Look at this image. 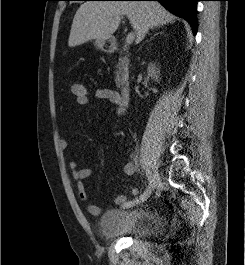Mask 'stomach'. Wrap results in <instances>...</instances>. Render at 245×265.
Wrapping results in <instances>:
<instances>
[{"mask_svg":"<svg viewBox=\"0 0 245 265\" xmlns=\"http://www.w3.org/2000/svg\"><path fill=\"white\" fill-rule=\"evenodd\" d=\"M95 46L101 51H107L110 48V43L108 40H96Z\"/></svg>","mask_w":245,"mask_h":265,"instance_id":"obj_1","label":"stomach"}]
</instances>
